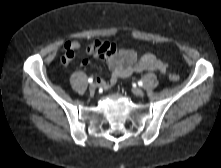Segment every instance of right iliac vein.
I'll return each instance as SVG.
<instances>
[{
	"instance_id": "right-iliac-vein-1",
	"label": "right iliac vein",
	"mask_w": 221,
	"mask_h": 168,
	"mask_svg": "<svg viewBox=\"0 0 221 168\" xmlns=\"http://www.w3.org/2000/svg\"><path fill=\"white\" fill-rule=\"evenodd\" d=\"M89 91H90V93H94L96 91V85L95 84H90Z\"/></svg>"
}]
</instances>
